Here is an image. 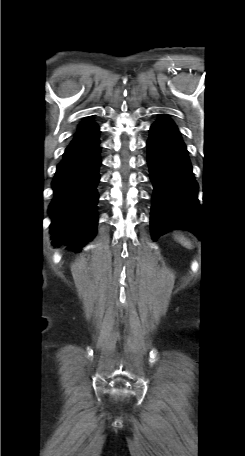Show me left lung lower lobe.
Here are the masks:
<instances>
[{
	"label": "left lung lower lobe",
	"mask_w": 245,
	"mask_h": 456,
	"mask_svg": "<svg viewBox=\"0 0 245 456\" xmlns=\"http://www.w3.org/2000/svg\"><path fill=\"white\" fill-rule=\"evenodd\" d=\"M147 163L154 186L151 210L153 239L174 228L197 233L198 184L177 126L162 115L150 128Z\"/></svg>",
	"instance_id": "left-lung-lower-lobe-1"
}]
</instances>
